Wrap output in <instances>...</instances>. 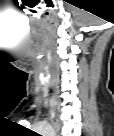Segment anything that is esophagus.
<instances>
[{"label": "esophagus", "mask_w": 114, "mask_h": 136, "mask_svg": "<svg viewBox=\"0 0 114 136\" xmlns=\"http://www.w3.org/2000/svg\"><path fill=\"white\" fill-rule=\"evenodd\" d=\"M50 119H51V122H52V125L55 131H58L59 120H58L57 112L55 109L54 99H52L51 104H50Z\"/></svg>", "instance_id": "34e87169"}]
</instances>
